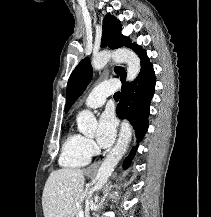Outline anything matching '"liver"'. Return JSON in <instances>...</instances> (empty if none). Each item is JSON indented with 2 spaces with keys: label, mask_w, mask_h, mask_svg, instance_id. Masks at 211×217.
<instances>
[{
  "label": "liver",
  "mask_w": 211,
  "mask_h": 217,
  "mask_svg": "<svg viewBox=\"0 0 211 217\" xmlns=\"http://www.w3.org/2000/svg\"><path fill=\"white\" fill-rule=\"evenodd\" d=\"M84 182L81 169L62 168L51 172L42 195L44 217H70Z\"/></svg>",
  "instance_id": "1"
}]
</instances>
